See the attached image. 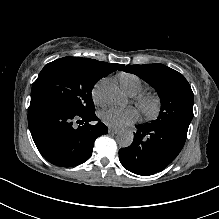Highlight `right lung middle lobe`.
<instances>
[{"instance_id":"1","label":"right lung middle lobe","mask_w":219,"mask_h":219,"mask_svg":"<svg viewBox=\"0 0 219 219\" xmlns=\"http://www.w3.org/2000/svg\"><path fill=\"white\" fill-rule=\"evenodd\" d=\"M117 64L88 58L64 57L48 63L32 85L31 100L55 101L75 113H93L91 91Z\"/></svg>"}]
</instances>
